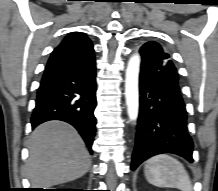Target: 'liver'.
<instances>
[{
    "instance_id": "1",
    "label": "liver",
    "mask_w": 218,
    "mask_h": 191,
    "mask_svg": "<svg viewBox=\"0 0 218 191\" xmlns=\"http://www.w3.org/2000/svg\"><path fill=\"white\" fill-rule=\"evenodd\" d=\"M27 176L33 188H46L85 175L89 152L78 132L69 124L49 121L39 125L29 140Z\"/></svg>"
}]
</instances>
